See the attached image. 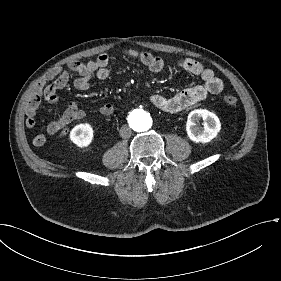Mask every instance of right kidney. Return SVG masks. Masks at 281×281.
Segmentation results:
<instances>
[{"instance_id": "ca27d5eb", "label": "right kidney", "mask_w": 281, "mask_h": 281, "mask_svg": "<svg viewBox=\"0 0 281 281\" xmlns=\"http://www.w3.org/2000/svg\"><path fill=\"white\" fill-rule=\"evenodd\" d=\"M94 140V129L89 123L76 125L71 131V142L79 148H88Z\"/></svg>"}]
</instances>
